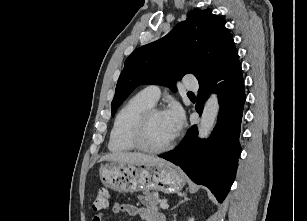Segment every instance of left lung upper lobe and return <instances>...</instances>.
<instances>
[{
	"label": "left lung upper lobe",
	"mask_w": 307,
	"mask_h": 221,
	"mask_svg": "<svg viewBox=\"0 0 307 221\" xmlns=\"http://www.w3.org/2000/svg\"><path fill=\"white\" fill-rule=\"evenodd\" d=\"M237 52L225 19L211 9L193 10L165 37L134 50L126 59L111 103L112 116L141 84L165 85L192 73L199 83L212 77Z\"/></svg>",
	"instance_id": "obj_1"
}]
</instances>
